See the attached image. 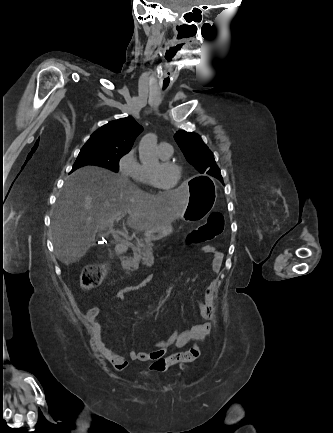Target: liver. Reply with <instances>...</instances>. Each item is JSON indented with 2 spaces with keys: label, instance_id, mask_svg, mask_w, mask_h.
Wrapping results in <instances>:
<instances>
[{
  "label": "liver",
  "instance_id": "1",
  "mask_svg": "<svg viewBox=\"0 0 333 433\" xmlns=\"http://www.w3.org/2000/svg\"><path fill=\"white\" fill-rule=\"evenodd\" d=\"M188 199V192L151 195L122 175L96 166L81 167L66 178L53 212L56 257L66 265L79 261L95 244L97 234L111 232L113 226L106 220L119 213L129 214L126 225L137 232H159L183 214Z\"/></svg>",
  "mask_w": 333,
  "mask_h": 433
}]
</instances>
